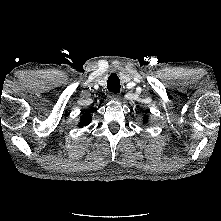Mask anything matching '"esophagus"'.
Segmentation results:
<instances>
[{
    "mask_svg": "<svg viewBox=\"0 0 221 221\" xmlns=\"http://www.w3.org/2000/svg\"><path fill=\"white\" fill-rule=\"evenodd\" d=\"M118 97H119L118 93H113V94L111 95V98L114 99V100H117Z\"/></svg>",
    "mask_w": 221,
    "mask_h": 221,
    "instance_id": "esophagus-1",
    "label": "esophagus"
}]
</instances>
